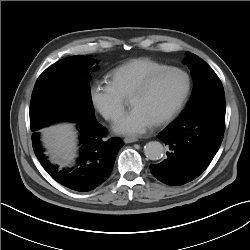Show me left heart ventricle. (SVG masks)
I'll return each mask as SVG.
<instances>
[{
  "instance_id": "obj_1",
  "label": "left heart ventricle",
  "mask_w": 250,
  "mask_h": 250,
  "mask_svg": "<svg viewBox=\"0 0 250 250\" xmlns=\"http://www.w3.org/2000/svg\"><path fill=\"white\" fill-rule=\"evenodd\" d=\"M185 89V78L177 72L160 76L144 94L130 99L133 107L142 108L154 122L164 117L177 104Z\"/></svg>"
}]
</instances>
